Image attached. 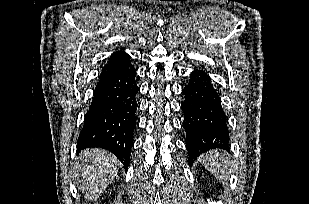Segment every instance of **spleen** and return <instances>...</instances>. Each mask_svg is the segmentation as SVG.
Instances as JSON below:
<instances>
[{
    "label": "spleen",
    "instance_id": "spleen-1",
    "mask_svg": "<svg viewBox=\"0 0 309 204\" xmlns=\"http://www.w3.org/2000/svg\"><path fill=\"white\" fill-rule=\"evenodd\" d=\"M200 161L220 181L227 182L231 169L230 161L225 154L219 151H210L209 153L201 156Z\"/></svg>",
    "mask_w": 309,
    "mask_h": 204
}]
</instances>
